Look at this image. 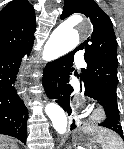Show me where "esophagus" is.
<instances>
[{"label":"esophagus","instance_id":"esophagus-1","mask_svg":"<svg viewBox=\"0 0 124 149\" xmlns=\"http://www.w3.org/2000/svg\"><path fill=\"white\" fill-rule=\"evenodd\" d=\"M73 117H74V110L71 106L68 113V118L72 121ZM80 125H81V122L79 120H76V126L79 127Z\"/></svg>","mask_w":124,"mask_h":149}]
</instances>
